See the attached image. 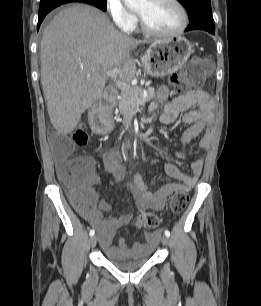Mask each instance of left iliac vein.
<instances>
[{
	"label": "left iliac vein",
	"instance_id": "1",
	"mask_svg": "<svg viewBox=\"0 0 261 306\" xmlns=\"http://www.w3.org/2000/svg\"><path fill=\"white\" fill-rule=\"evenodd\" d=\"M161 242H162V244L163 245H168L169 244V238L166 236V235H163L162 237H161Z\"/></svg>",
	"mask_w": 261,
	"mask_h": 306
}]
</instances>
